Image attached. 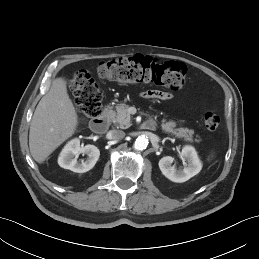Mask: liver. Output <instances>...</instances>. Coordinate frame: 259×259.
Listing matches in <instances>:
<instances>
[{"mask_svg": "<svg viewBox=\"0 0 259 259\" xmlns=\"http://www.w3.org/2000/svg\"><path fill=\"white\" fill-rule=\"evenodd\" d=\"M78 125V115L67 93L66 81L59 77L38 103L33 114L29 148L32 157L43 163L64 141L70 138Z\"/></svg>", "mask_w": 259, "mask_h": 259, "instance_id": "1", "label": "liver"}]
</instances>
